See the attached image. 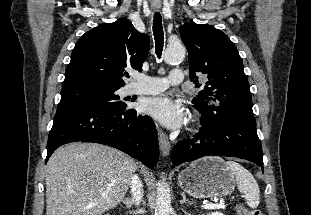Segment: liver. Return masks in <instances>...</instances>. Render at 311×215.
Masks as SVG:
<instances>
[{"label": "liver", "mask_w": 311, "mask_h": 215, "mask_svg": "<svg viewBox=\"0 0 311 215\" xmlns=\"http://www.w3.org/2000/svg\"><path fill=\"white\" fill-rule=\"evenodd\" d=\"M136 162L100 144L58 148L46 168V215H101L124 198Z\"/></svg>", "instance_id": "6515ba94"}]
</instances>
